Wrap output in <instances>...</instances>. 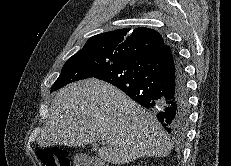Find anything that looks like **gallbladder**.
<instances>
[{
  "instance_id": "obj_1",
  "label": "gallbladder",
  "mask_w": 231,
  "mask_h": 166,
  "mask_svg": "<svg viewBox=\"0 0 231 166\" xmlns=\"http://www.w3.org/2000/svg\"><path fill=\"white\" fill-rule=\"evenodd\" d=\"M92 160L85 155H76L74 159V166H88Z\"/></svg>"
}]
</instances>
